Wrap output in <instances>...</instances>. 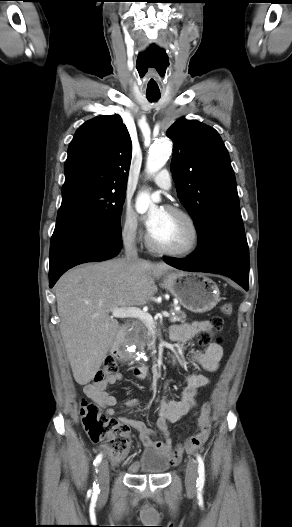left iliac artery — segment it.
<instances>
[{
	"instance_id": "obj_1",
	"label": "left iliac artery",
	"mask_w": 292,
	"mask_h": 527,
	"mask_svg": "<svg viewBox=\"0 0 292 527\" xmlns=\"http://www.w3.org/2000/svg\"><path fill=\"white\" fill-rule=\"evenodd\" d=\"M197 462H198V475L199 477L196 480V487L198 490H202L205 482V467H204V461L202 457L198 454L197 455Z\"/></svg>"
}]
</instances>
